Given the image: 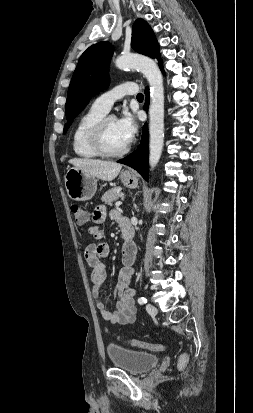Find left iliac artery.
I'll return each mask as SVG.
<instances>
[{
    "label": "left iliac artery",
    "mask_w": 253,
    "mask_h": 413,
    "mask_svg": "<svg viewBox=\"0 0 253 413\" xmlns=\"http://www.w3.org/2000/svg\"><path fill=\"white\" fill-rule=\"evenodd\" d=\"M138 303L143 305L147 303V299L145 297H139L138 298Z\"/></svg>",
    "instance_id": "left-iliac-artery-1"
}]
</instances>
